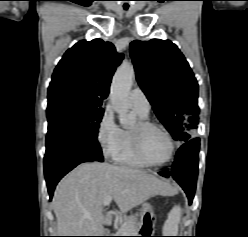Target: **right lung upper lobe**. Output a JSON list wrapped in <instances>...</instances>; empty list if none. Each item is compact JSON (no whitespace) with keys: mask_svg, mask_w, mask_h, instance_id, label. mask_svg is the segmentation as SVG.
Here are the masks:
<instances>
[{"mask_svg":"<svg viewBox=\"0 0 248 237\" xmlns=\"http://www.w3.org/2000/svg\"><path fill=\"white\" fill-rule=\"evenodd\" d=\"M122 58L110 42L79 41L66 51L54 70L48 88L49 102L71 98L102 105Z\"/></svg>","mask_w":248,"mask_h":237,"instance_id":"obj_1","label":"right lung upper lobe"}]
</instances>
